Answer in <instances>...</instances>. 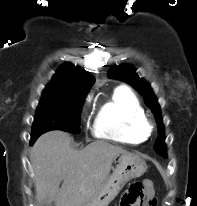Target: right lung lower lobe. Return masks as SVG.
I'll list each match as a JSON object with an SVG mask.
<instances>
[{
  "label": "right lung lower lobe",
  "mask_w": 197,
  "mask_h": 206,
  "mask_svg": "<svg viewBox=\"0 0 197 206\" xmlns=\"http://www.w3.org/2000/svg\"><path fill=\"white\" fill-rule=\"evenodd\" d=\"M34 141H35V140L31 139V144H33Z\"/></svg>",
  "instance_id": "obj_1"
}]
</instances>
